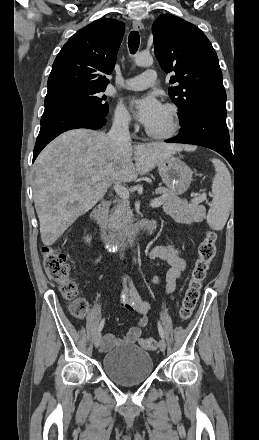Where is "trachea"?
Returning <instances> with one entry per match:
<instances>
[{"label": "trachea", "mask_w": 259, "mask_h": 440, "mask_svg": "<svg viewBox=\"0 0 259 440\" xmlns=\"http://www.w3.org/2000/svg\"><path fill=\"white\" fill-rule=\"evenodd\" d=\"M140 36L138 31H132L128 37V46L131 54H135L139 48Z\"/></svg>", "instance_id": "3493384b"}]
</instances>
